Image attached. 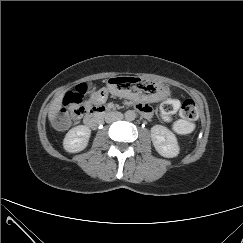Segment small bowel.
I'll list each match as a JSON object with an SVG mask.
<instances>
[{
  "label": "small bowel",
  "instance_id": "obj_1",
  "mask_svg": "<svg viewBox=\"0 0 243 243\" xmlns=\"http://www.w3.org/2000/svg\"><path fill=\"white\" fill-rule=\"evenodd\" d=\"M107 100V91L105 89H100L98 91H95L89 102L87 103V106H101L105 101ZM137 110L146 118L151 117L152 115V109L150 108V106H148L147 104H143V103H138L136 105Z\"/></svg>",
  "mask_w": 243,
  "mask_h": 243
}]
</instances>
